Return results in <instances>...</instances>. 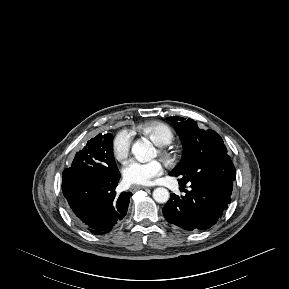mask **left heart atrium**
Segmentation results:
<instances>
[{
  "label": "left heart atrium",
  "instance_id": "39dd6f15",
  "mask_svg": "<svg viewBox=\"0 0 289 289\" xmlns=\"http://www.w3.org/2000/svg\"><path fill=\"white\" fill-rule=\"evenodd\" d=\"M163 164L159 160L142 162L132 160L123 169L124 180L133 185H149L153 179L162 175Z\"/></svg>",
  "mask_w": 289,
  "mask_h": 289
}]
</instances>
